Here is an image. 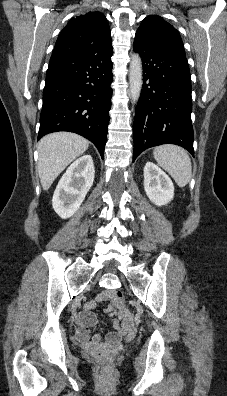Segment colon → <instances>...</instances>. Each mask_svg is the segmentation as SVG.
<instances>
[{"instance_id":"obj_1","label":"colon","mask_w":227,"mask_h":396,"mask_svg":"<svg viewBox=\"0 0 227 396\" xmlns=\"http://www.w3.org/2000/svg\"><path fill=\"white\" fill-rule=\"evenodd\" d=\"M115 298H116V300H117L118 302H123V299H124L123 293L120 292V291H117V292H116V295H115ZM109 361H110V356L108 355V356L106 357V362L108 363Z\"/></svg>"}]
</instances>
